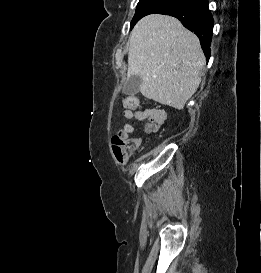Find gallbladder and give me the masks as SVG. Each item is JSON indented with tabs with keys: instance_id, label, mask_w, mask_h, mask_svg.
<instances>
[{
	"instance_id": "bac80fb5",
	"label": "gallbladder",
	"mask_w": 261,
	"mask_h": 273,
	"mask_svg": "<svg viewBox=\"0 0 261 273\" xmlns=\"http://www.w3.org/2000/svg\"><path fill=\"white\" fill-rule=\"evenodd\" d=\"M142 79L137 75L130 76L123 85V93L128 96L138 94Z\"/></svg>"
}]
</instances>
